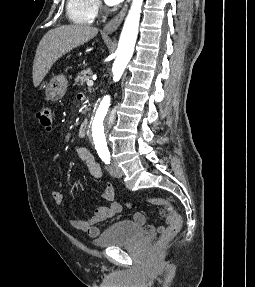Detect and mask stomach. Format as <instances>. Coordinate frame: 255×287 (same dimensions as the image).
Segmentation results:
<instances>
[{
	"instance_id": "stomach-1",
	"label": "stomach",
	"mask_w": 255,
	"mask_h": 287,
	"mask_svg": "<svg viewBox=\"0 0 255 287\" xmlns=\"http://www.w3.org/2000/svg\"><path fill=\"white\" fill-rule=\"evenodd\" d=\"M68 82L65 76H55L50 80L48 86H46V100L50 102H58L63 98L67 90Z\"/></svg>"
}]
</instances>
